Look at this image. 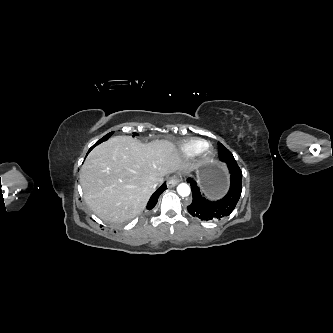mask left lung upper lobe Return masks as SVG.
<instances>
[{"instance_id":"1","label":"left lung upper lobe","mask_w":333,"mask_h":333,"mask_svg":"<svg viewBox=\"0 0 333 333\" xmlns=\"http://www.w3.org/2000/svg\"><path fill=\"white\" fill-rule=\"evenodd\" d=\"M218 150H219V157H220L221 161H224V162H226V161H235L232 153L220 143H219V146H218Z\"/></svg>"}]
</instances>
